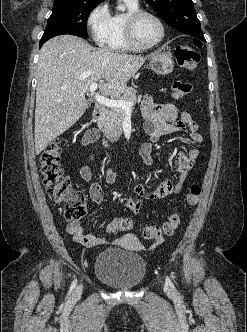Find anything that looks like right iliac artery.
I'll return each instance as SVG.
<instances>
[{
  "instance_id": "right-iliac-artery-1",
  "label": "right iliac artery",
  "mask_w": 247,
  "mask_h": 332,
  "mask_svg": "<svg viewBox=\"0 0 247 332\" xmlns=\"http://www.w3.org/2000/svg\"><path fill=\"white\" fill-rule=\"evenodd\" d=\"M76 284H77V279H75V280L72 282V284H71V286H70V291H69V293H71V292L75 289Z\"/></svg>"
}]
</instances>
